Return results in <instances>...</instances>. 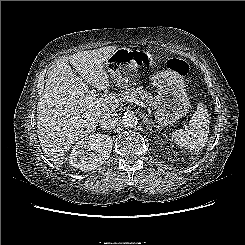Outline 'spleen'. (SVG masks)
<instances>
[{
    "label": "spleen",
    "instance_id": "1",
    "mask_svg": "<svg viewBox=\"0 0 245 245\" xmlns=\"http://www.w3.org/2000/svg\"><path fill=\"white\" fill-rule=\"evenodd\" d=\"M209 135V114L206 106L198 104L187 129H179L172 133L174 143L190 150H201Z\"/></svg>",
    "mask_w": 245,
    "mask_h": 245
}]
</instances>
